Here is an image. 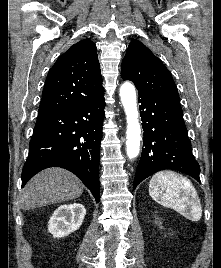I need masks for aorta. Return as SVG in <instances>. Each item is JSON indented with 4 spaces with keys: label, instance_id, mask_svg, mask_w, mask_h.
I'll use <instances>...</instances> for the list:
<instances>
[{
    "label": "aorta",
    "instance_id": "1",
    "mask_svg": "<svg viewBox=\"0 0 221 268\" xmlns=\"http://www.w3.org/2000/svg\"><path fill=\"white\" fill-rule=\"evenodd\" d=\"M120 99L124 107L127 120L126 145L129 159L138 156L140 151L141 127L138 120L136 91L130 82H125L120 87Z\"/></svg>",
    "mask_w": 221,
    "mask_h": 268
}]
</instances>
